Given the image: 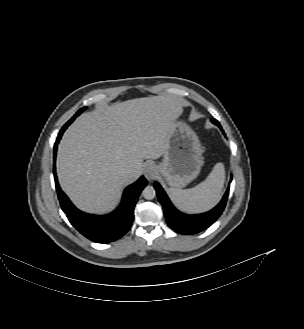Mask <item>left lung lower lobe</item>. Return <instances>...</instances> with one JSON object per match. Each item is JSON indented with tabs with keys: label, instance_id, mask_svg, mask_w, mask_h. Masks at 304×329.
I'll return each mask as SVG.
<instances>
[{
	"label": "left lung lower lobe",
	"instance_id": "obj_1",
	"mask_svg": "<svg viewBox=\"0 0 304 329\" xmlns=\"http://www.w3.org/2000/svg\"><path fill=\"white\" fill-rule=\"evenodd\" d=\"M211 121L222 130L218 121H216L215 119H212ZM230 181H232V177ZM229 187L230 186H228V189L220 203L212 210L203 214L186 215L178 211L172 205L171 201L169 200L168 196L166 195L160 184L157 182L154 183V188L156 189L158 200L163 206L164 215L166 217L168 225L174 231L184 235H192L199 233L208 228L219 218L225 208L226 201L228 199Z\"/></svg>",
	"mask_w": 304,
	"mask_h": 329
}]
</instances>
